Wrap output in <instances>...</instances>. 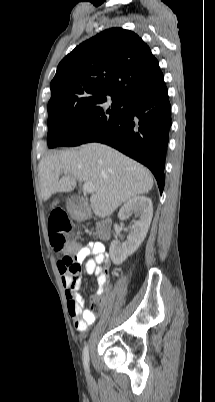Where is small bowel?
<instances>
[{
    "mask_svg": "<svg viewBox=\"0 0 215 402\" xmlns=\"http://www.w3.org/2000/svg\"><path fill=\"white\" fill-rule=\"evenodd\" d=\"M90 255L93 258L85 261L84 272L87 275H95L97 277L98 289L96 294L99 298H103L104 295L110 292V286L108 285L109 270L107 268L110 260L106 254L105 246L100 242L94 241L83 245L82 250H77V255L74 258L80 266V263ZM60 260L57 266L65 290L68 312L73 319L75 328L80 332H84L88 326L95 322L96 313L84 309V299L79 294L82 285L80 267L78 270L71 272L68 268L62 266Z\"/></svg>",
    "mask_w": 215,
    "mask_h": 402,
    "instance_id": "c3829d8e",
    "label": "small bowel"
}]
</instances>
